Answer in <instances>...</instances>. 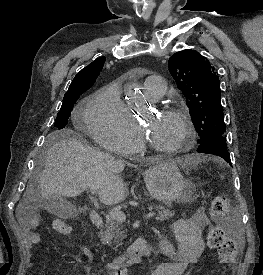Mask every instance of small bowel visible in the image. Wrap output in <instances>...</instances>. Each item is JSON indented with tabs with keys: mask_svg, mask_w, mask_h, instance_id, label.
<instances>
[{
	"mask_svg": "<svg viewBox=\"0 0 263 275\" xmlns=\"http://www.w3.org/2000/svg\"><path fill=\"white\" fill-rule=\"evenodd\" d=\"M61 221V220H57ZM56 222V221H55ZM33 244L39 241L36 233L30 231L33 223L26 225ZM213 226L203 208H199L191 217L175 221L171 230L175 235L178 246L175 248L165 235L161 238V252L169 261L157 265L151 275H183L186 268L197 262L203 253L206 243L203 233L205 229L211 230ZM80 253L86 257H93L94 252L88 247H80ZM107 275H129L127 270L121 272L112 266H106Z\"/></svg>",
	"mask_w": 263,
	"mask_h": 275,
	"instance_id": "1",
	"label": "small bowel"
}]
</instances>
